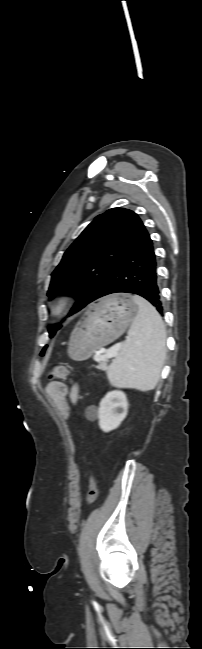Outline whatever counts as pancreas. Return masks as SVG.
<instances>
[{
  "label": "pancreas",
  "instance_id": "cf45deb5",
  "mask_svg": "<svg viewBox=\"0 0 202 649\" xmlns=\"http://www.w3.org/2000/svg\"><path fill=\"white\" fill-rule=\"evenodd\" d=\"M99 363L100 364L97 367L98 369H100L102 371L108 370V360L107 359H104V360L100 361Z\"/></svg>",
  "mask_w": 202,
  "mask_h": 649
}]
</instances>
